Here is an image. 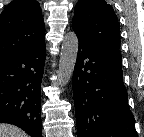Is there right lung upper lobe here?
<instances>
[{"mask_svg":"<svg viewBox=\"0 0 144 137\" xmlns=\"http://www.w3.org/2000/svg\"><path fill=\"white\" fill-rule=\"evenodd\" d=\"M45 25L36 0H14L0 14V62L44 40Z\"/></svg>","mask_w":144,"mask_h":137,"instance_id":"obj_1","label":"right lung upper lobe"}]
</instances>
